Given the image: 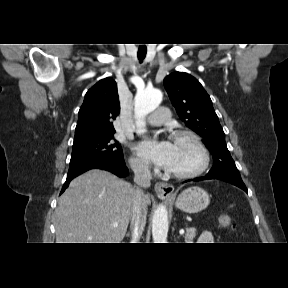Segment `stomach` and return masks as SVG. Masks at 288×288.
<instances>
[{"mask_svg":"<svg viewBox=\"0 0 288 288\" xmlns=\"http://www.w3.org/2000/svg\"><path fill=\"white\" fill-rule=\"evenodd\" d=\"M209 203L208 193L197 186L189 187L182 191L175 201L178 209L190 214L202 211Z\"/></svg>","mask_w":288,"mask_h":288,"instance_id":"1","label":"stomach"}]
</instances>
